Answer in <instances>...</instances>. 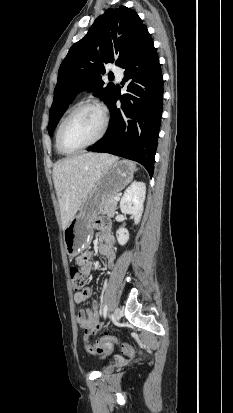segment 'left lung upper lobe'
<instances>
[{
    "label": "left lung upper lobe",
    "instance_id": "obj_1",
    "mask_svg": "<svg viewBox=\"0 0 233 413\" xmlns=\"http://www.w3.org/2000/svg\"><path fill=\"white\" fill-rule=\"evenodd\" d=\"M148 33L138 14L125 6L109 8L88 33L70 49L60 65L54 100L50 108L48 133L79 89H93L108 105L114 85L104 86V63L121 66Z\"/></svg>",
    "mask_w": 233,
    "mask_h": 413
}]
</instances>
